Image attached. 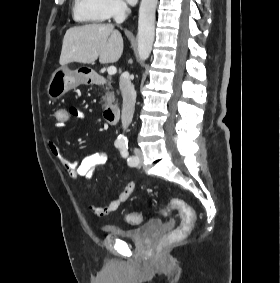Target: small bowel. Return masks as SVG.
Returning a JSON list of instances; mask_svg holds the SVG:
<instances>
[{
  "label": "small bowel",
  "mask_w": 280,
  "mask_h": 283,
  "mask_svg": "<svg viewBox=\"0 0 280 283\" xmlns=\"http://www.w3.org/2000/svg\"><path fill=\"white\" fill-rule=\"evenodd\" d=\"M68 114L71 115L72 118L78 121H84L85 115L84 113L75 107H71L68 109ZM66 123L56 122L57 128H63ZM47 145L50 152L57 157L65 171L72 179L86 178L90 179L96 169L103 166L106 162V154L103 151H99L93 154L86 155L82 157L78 161H72L63 156L58 144L51 138L47 140ZM135 189V183L129 182L123 191L120 193L117 199L112 200L105 206H99L94 203H87L88 210L98 217H105L113 212L117 211L120 205L126 202Z\"/></svg>",
  "instance_id": "c3829d8e"
}]
</instances>
